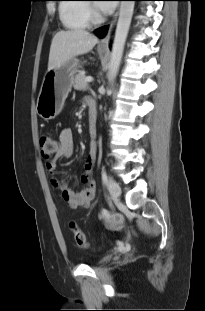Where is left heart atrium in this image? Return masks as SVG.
Instances as JSON below:
<instances>
[{
  "instance_id": "left-heart-atrium-1",
  "label": "left heart atrium",
  "mask_w": 205,
  "mask_h": 311,
  "mask_svg": "<svg viewBox=\"0 0 205 311\" xmlns=\"http://www.w3.org/2000/svg\"><path fill=\"white\" fill-rule=\"evenodd\" d=\"M99 6L103 13H110L113 9V4L110 2H103Z\"/></svg>"
}]
</instances>
